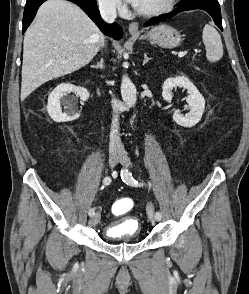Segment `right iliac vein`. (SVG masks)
<instances>
[{"label": "right iliac vein", "mask_w": 249, "mask_h": 294, "mask_svg": "<svg viewBox=\"0 0 249 294\" xmlns=\"http://www.w3.org/2000/svg\"><path fill=\"white\" fill-rule=\"evenodd\" d=\"M118 158H119L118 150L117 149H111L109 151V165H110L111 168L115 167V165L117 164ZM100 218H101L100 213L96 212L91 217V219L89 220V225L92 226V227L96 226L99 223Z\"/></svg>", "instance_id": "1"}]
</instances>
